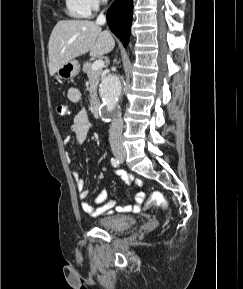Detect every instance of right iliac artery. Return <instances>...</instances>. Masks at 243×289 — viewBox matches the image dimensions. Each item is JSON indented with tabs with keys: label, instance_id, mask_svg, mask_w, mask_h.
<instances>
[{
	"label": "right iliac artery",
	"instance_id": "1",
	"mask_svg": "<svg viewBox=\"0 0 243 289\" xmlns=\"http://www.w3.org/2000/svg\"><path fill=\"white\" fill-rule=\"evenodd\" d=\"M119 160L118 159H116V158H112L111 159V164L114 166V167H117V166H119Z\"/></svg>",
	"mask_w": 243,
	"mask_h": 289
}]
</instances>
